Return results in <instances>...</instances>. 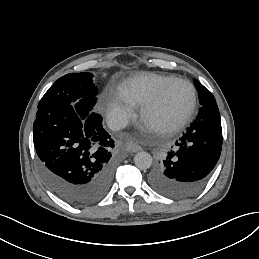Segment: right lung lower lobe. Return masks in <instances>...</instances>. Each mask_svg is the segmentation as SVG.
<instances>
[{
	"label": "right lung lower lobe",
	"mask_w": 259,
	"mask_h": 259,
	"mask_svg": "<svg viewBox=\"0 0 259 259\" xmlns=\"http://www.w3.org/2000/svg\"><path fill=\"white\" fill-rule=\"evenodd\" d=\"M33 141L49 188L72 206H87L109 190L114 176V140L100 114H79L69 106L38 109Z\"/></svg>",
	"instance_id": "1"
}]
</instances>
